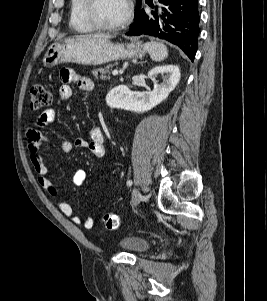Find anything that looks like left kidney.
<instances>
[{
	"mask_svg": "<svg viewBox=\"0 0 267 301\" xmlns=\"http://www.w3.org/2000/svg\"><path fill=\"white\" fill-rule=\"evenodd\" d=\"M162 76L163 82L158 84L156 77ZM180 69L177 65H165L151 69L148 77L154 82L150 92L141 93L138 97L126 85L113 88L106 96L110 108L133 110L137 107L150 110L165 100L180 81Z\"/></svg>",
	"mask_w": 267,
	"mask_h": 301,
	"instance_id": "obj_1",
	"label": "left kidney"
}]
</instances>
